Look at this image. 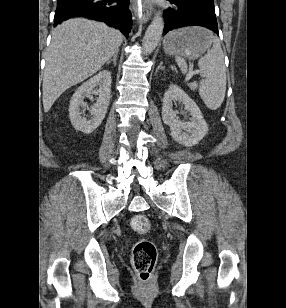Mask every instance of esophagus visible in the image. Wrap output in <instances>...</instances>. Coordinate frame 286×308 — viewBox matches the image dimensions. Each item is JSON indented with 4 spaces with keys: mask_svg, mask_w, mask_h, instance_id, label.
<instances>
[{
    "mask_svg": "<svg viewBox=\"0 0 286 308\" xmlns=\"http://www.w3.org/2000/svg\"><path fill=\"white\" fill-rule=\"evenodd\" d=\"M153 7L148 0H136L135 14H138L139 19L147 22L152 15Z\"/></svg>",
    "mask_w": 286,
    "mask_h": 308,
    "instance_id": "34e87169",
    "label": "esophagus"
}]
</instances>
